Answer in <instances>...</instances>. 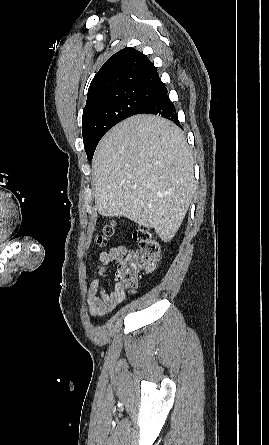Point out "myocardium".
Segmentation results:
<instances>
[{"label": "myocardium", "mask_w": 269, "mask_h": 445, "mask_svg": "<svg viewBox=\"0 0 269 445\" xmlns=\"http://www.w3.org/2000/svg\"><path fill=\"white\" fill-rule=\"evenodd\" d=\"M8 236H9V235H6L5 237L1 238V239H0V242L3 241V240H5Z\"/></svg>", "instance_id": "myocardium-1"}]
</instances>
